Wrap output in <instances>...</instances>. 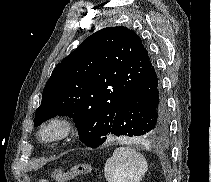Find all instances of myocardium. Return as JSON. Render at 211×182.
<instances>
[{
    "mask_svg": "<svg viewBox=\"0 0 211 182\" xmlns=\"http://www.w3.org/2000/svg\"><path fill=\"white\" fill-rule=\"evenodd\" d=\"M75 127V121L71 117L53 116L39 127L37 138L44 144L56 143L69 137Z\"/></svg>",
    "mask_w": 211,
    "mask_h": 182,
    "instance_id": "obj_1",
    "label": "myocardium"
}]
</instances>
